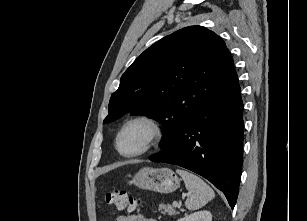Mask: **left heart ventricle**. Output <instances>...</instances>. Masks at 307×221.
I'll use <instances>...</instances> for the list:
<instances>
[{"instance_id": "left-heart-ventricle-1", "label": "left heart ventricle", "mask_w": 307, "mask_h": 221, "mask_svg": "<svg viewBox=\"0 0 307 221\" xmlns=\"http://www.w3.org/2000/svg\"><path fill=\"white\" fill-rule=\"evenodd\" d=\"M148 137V128L144 124L129 126L121 136L120 149L124 153H133L142 149Z\"/></svg>"}]
</instances>
